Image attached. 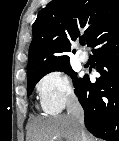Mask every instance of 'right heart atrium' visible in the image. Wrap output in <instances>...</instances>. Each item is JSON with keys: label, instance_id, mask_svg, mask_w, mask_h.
Wrapping results in <instances>:
<instances>
[{"label": "right heart atrium", "instance_id": "1", "mask_svg": "<svg viewBox=\"0 0 119 141\" xmlns=\"http://www.w3.org/2000/svg\"><path fill=\"white\" fill-rule=\"evenodd\" d=\"M36 90L42 108L49 113L59 112L75 99L71 80L61 70H52L42 76Z\"/></svg>", "mask_w": 119, "mask_h": 141}]
</instances>
